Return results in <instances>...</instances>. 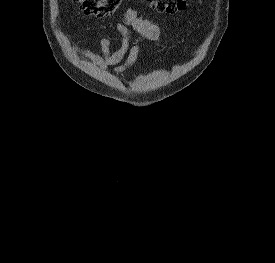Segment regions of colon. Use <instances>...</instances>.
I'll list each match as a JSON object with an SVG mask.
<instances>
[{
	"label": "colon",
	"instance_id": "obj_1",
	"mask_svg": "<svg viewBox=\"0 0 275 263\" xmlns=\"http://www.w3.org/2000/svg\"><path fill=\"white\" fill-rule=\"evenodd\" d=\"M81 10L96 17H108L119 10L124 0H75ZM151 7L160 12L177 13L185 9L187 0H149Z\"/></svg>",
	"mask_w": 275,
	"mask_h": 263
}]
</instances>
